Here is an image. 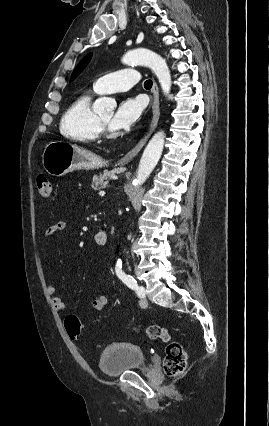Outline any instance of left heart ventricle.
Masks as SVG:
<instances>
[{"label":"left heart ventricle","mask_w":269,"mask_h":426,"mask_svg":"<svg viewBox=\"0 0 269 426\" xmlns=\"http://www.w3.org/2000/svg\"><path fill=\"white\" fill-rule=\"evenodd\" d=\"M100 118L102 119V121H104L106 124H109L111 119H112V114L108 113V114H104L101 115Z\"/></svg>","instance_id":"left-heart-ventricle-1"}]
</instances>
